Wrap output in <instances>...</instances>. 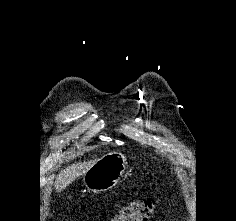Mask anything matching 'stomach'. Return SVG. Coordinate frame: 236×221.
Segmentation results:
<instances>
[{"label":"stomach","instance_id":"obj_1","mask_svg":"<svg viewBox=\"0 0 236 221\" xmlns=\"http://www.w3.org/2000/svg\"><path fill=\"white\" fill-rule=\"evenodd\" d=\"M127 166V159L123 154L108 153L86 171L83 177L85 187L95 193L109 190L118 183Z\"/></svg>","mask_w":236,"mask_h":221}]
</instances>
